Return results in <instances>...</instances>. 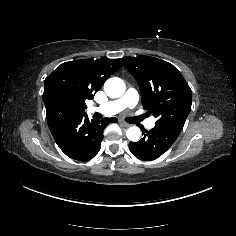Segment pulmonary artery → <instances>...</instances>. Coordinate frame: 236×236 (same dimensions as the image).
Masks as SVG:
<instances>
[{
    "mask_svg": "<svg viewBox=\"0 0 236 236\" xmlns=\"http://www.w3.org/2000/svg\"><path fill=\"white\" fill-rule=\"evenodd\" d=\"M138 100V94L133 89H128L127 92L120 98L113 101H107L98 106H94L92 109L105 116H114L126 108H134L138 103ZM136 117L138 121H142L143 125L151 124V119L145 118V115L142 111H137Z\"/></svg>",
    "mask_w": 236,
    "mask_h": 236,
    "instance_id": "1",
    "label": "pulmonary artery"
}]
</instances>
